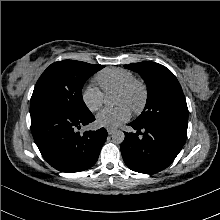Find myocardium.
I'll return each instance as SVG.
<instances>
[{
    "mask_svg": "<svg viewBox=\"0 0 220 220\" xmlns=\"http://www.w3.org/2000/svg\"><path fill=\"white\" fill-rule=\"evenodd\" d=\"M136 89L139 90L141 99L139 104L132 108V111L134 114H140L145 109L148 101V88L144 81L134 78L133 80L125 84L123 87L118 89L116 91V94L129 95Z\"/></svg>",
    "mask_w": 220,
    "mask_h": 220,
    "instance_id": "1",
    "label": "myocardium"
}]
</instances>
